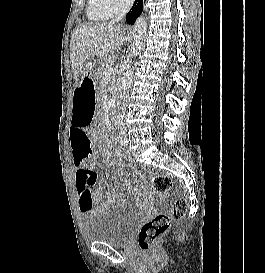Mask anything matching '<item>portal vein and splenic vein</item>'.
<instances>
[{
	"mask_svg": "<svg viewBox=\"0 0 265 273\" xmlns=\"http://www.w3.org/2000/svg\"><path fill=\"white\" fill-rule=\"evenodd\" d=\"M113 64V63H112ZM113 73V67L112 65L110 67H108V69L105 71L104 75L105 77H109L111 76V74Z\"/></svg>",
	"mask_w": 265,
	"mask_h": 273,
	"instance_id": "18ae733b",
	"label": "portal vein and splenic vein"
}]
</instances>
